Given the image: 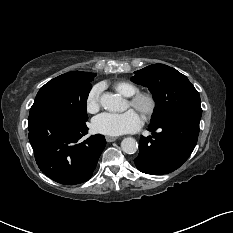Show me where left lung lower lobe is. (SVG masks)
Masks as SVG:
<instances>
[{"label":"left lung lower lobe","mask_w":233,"mask_h":233,"mask_svg":"<svg viewBox=\"0 0 233 233\" xmlns=\"http://www.w3.org/2000/svg\"><path fill=\"white\" fill-rule=\"evenodd\" d=\"M201 114L177 113L151 122L152 135L142 137L136 167L143 173L159 175L179 168L196 146Z\"/></svg>","instance_id":"1"}]
</instances>
